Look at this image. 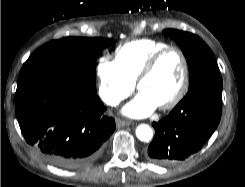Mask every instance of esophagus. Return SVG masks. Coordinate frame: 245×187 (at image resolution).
Instances as JSON below:
<instances>
[{
    "mask_svg": "<svg viewBox=\"0 0 245 187\" xmlns=\"http://www.w3.org/2000/svg\"><path fill=\"white\" fill-rule=\"evenodd\" d=\"M128 125H130V122H128V121L121 120L119 118L116 120V126L118 128L125 127V126H128Z\"/></svg>",
    "mask_w": 245,
    "mask_h": 187,
    "instance_id": "34e87169",
    "label": "esophagus"
}]
</instances>
